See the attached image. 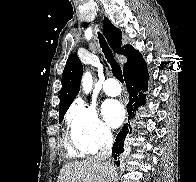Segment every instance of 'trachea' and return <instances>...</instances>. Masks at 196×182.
Instances as JSON below:
<instances>
[{
    "label": "trachea",
    "mask_w": 196,
    "mask_h": 182,
    "mask_svg": "<svg viewBox=\"0 0 196 182\" xmlns=\"http://www.w3.org/2000/svg\"><path fill=\"white\" fill-rule=\"evenodd\" d=\"M98 39H99V43H100V46L102 48V51H103L108 63L110 64V66L112 68L113 75L121 83H124L121 67L116 62V60L114 59V56H113V53H112L111 49L109 48L107 42L105 41L104 37L100 33L98 34Z\"/></svg>",
    "instance_id": "3493384b"
}]
</instances>
